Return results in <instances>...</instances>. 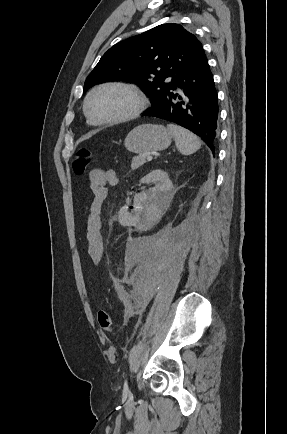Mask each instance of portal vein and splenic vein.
<instances>
[{
  "label": "portal vein and splenic vein",
  "mask_w": 287,
  "mask_h": 434,
  "mask_svg": "<svg viewBox=\"0 0 287 434\" xmlns=\"http://www.w3.org/2000/svg\"><path fill=\"white\" fill-rule=\"evenodd\" d=\"M152 158H153L152 155H147V156H146L147 161H151Z\"/></svg>",
  "instance_id": "obj_1"
}]
</instances>
